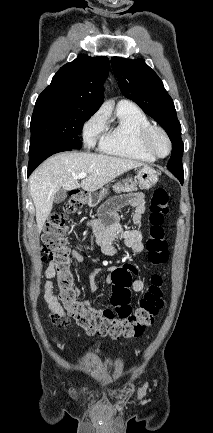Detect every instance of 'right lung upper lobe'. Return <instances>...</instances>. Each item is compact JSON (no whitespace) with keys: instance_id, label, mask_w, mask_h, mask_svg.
I'll return each mask as SVG.
<instances>
[{"instance_id":"right-lung-upper-lobe-1","label":"right lung upper lobe","mask_w":213,"mask_h":433,"mask_svg":"<svg viewBox=\"0 0 213 433\" xmlns=\"http://www.w3.org/2000/svg\"><path fill=\"white\" fill-rule=\"evenodd\" d=\"M109 72V59L80 54L62 66L37 101L78 105L97 111L103 102L102 85Z\"/></svg>"}]
</instances>
